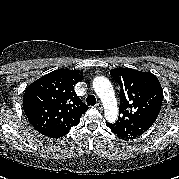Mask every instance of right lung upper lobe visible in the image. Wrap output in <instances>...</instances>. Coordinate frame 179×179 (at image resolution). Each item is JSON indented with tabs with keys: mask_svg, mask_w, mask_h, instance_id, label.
I'll return each mask as SVG.
<instances>
[{
	"mask_svg": "<svg viewBox=\"0 0 179 179\" xmlns=\"http://www.w3.org/2000/svg\"><path fill=\"white\" fill-rule=\"evenodd\" d=\"M82 76L79 70L58 69L27 87L23 108L39 133L60 138L79 124L82 114L88 110L74 91Z\"/></svg>",
	"mask_w": 179,
	"mask_h": 179,
	"instance_id": "1",
	"label": "right lung upper lobe"
}]
</instances>
